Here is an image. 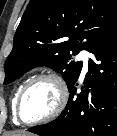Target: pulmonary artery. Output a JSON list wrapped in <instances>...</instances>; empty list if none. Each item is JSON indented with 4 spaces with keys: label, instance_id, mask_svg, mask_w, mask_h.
I'll use <instances>...</instances> for the list:
<instances>
[{
    "label": "pulmonary artery",
    "instance_id": "1",
    "mask_svg": "<svg viewBox=\"0 0 117 136\" xmlns=\"http://www.w3.org/2000/svg\"><path fill=\"white\" fill-rule=\"evenodd\" d=\"M90 57V53L83 50L79 53L78 59L83 62V72L86 73L88 71V60Z\"/></svg>",
    "mask_w": 117,
    "mask_h": 136
}]
</instances>
